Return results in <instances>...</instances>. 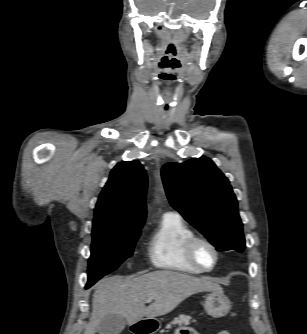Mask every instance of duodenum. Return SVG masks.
Listing matches in <instances>:
<instances>
[{"instance_id": "duodenum-1", "label": "duodenum", "mask_w": 307, "mask_h": 334, "mask_svg": "<svg viewBox=\"0 0 307 334\" xmlns=\"http://www.w3.org/2000/svg\"><path fill=\"white\" fill-rule=\"evenodd\" d=\"M133 334H151V330L142 327L134 329Z\"/></svg>"}]
</instances>
